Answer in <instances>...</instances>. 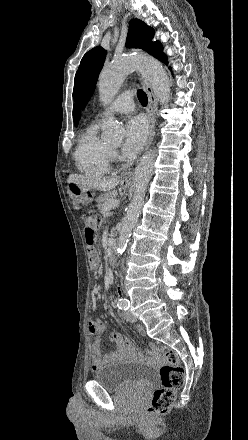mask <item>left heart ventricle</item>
<instances>
[{
  "label": "left heart ventricle",
  "instance_id": "1",
  "mask_svg": "<svg viewBox=\"0 0 248 440\" xmlns=\"http://www.w3.org/2000/svg\"><path fill=\"white\" fill-rule=\"evenodd\" d=\"M111 148H112V149H116V148H117V145H114V146H112Z\"/></svg>",
  "mask_w": 248,
  "mask_h": 440
}]
</instances>
